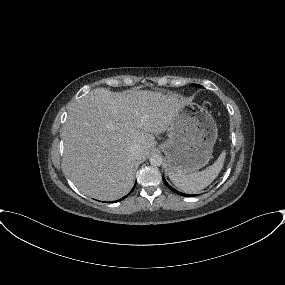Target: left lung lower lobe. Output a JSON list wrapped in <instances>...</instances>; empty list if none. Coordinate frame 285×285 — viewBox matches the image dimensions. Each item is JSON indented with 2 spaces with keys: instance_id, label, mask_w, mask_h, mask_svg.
<instances>
[{
  "instance_id": "obj_1",
  "label": "left lung lower lobe",
  "mask_w": 285,
  "mask_h": 285,
  "mask_svg": "<svg viewBox=\"0 0 285 285\" xmlns=\"http://www.w3.org/2000/svg\"><path fill=\"white\" fill-rule=\"evenodd\" d=\"M162 180H163V182L167 185V187H168L169 189H171L173 192H175V193H177V194H179V195H182V196H185V197L195 196V195H188V194L180 193V192H178L177 190H175L174 188H172V187L166 182V180H165L164 177H162Z\"/></svg>"
}]
</instances>
